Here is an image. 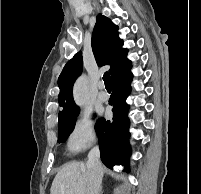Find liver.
Segmentation results:
<instances>
[{
	"mask_svg": "<svg viewBox=\"0 0 201 194\" xmlns=\"http://www.w3.org/2000/svg\"><path fill=\"white\" fill-rule=\"evenodd\" d=\"M88 177L89 171L85 163H67L56 174L50 194H86Z\"/></svg>",
	"mask_w": 201,
	"mask_h": 194,
	"instance_id": "liver-1",
	"label": "liver"
}]
</instances>
